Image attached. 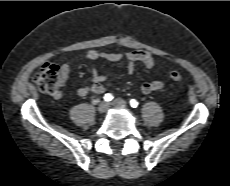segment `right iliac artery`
I'll return each instance as SVG.
<instances>
[{
  "mask_svg": "<svg viewBox=\"0 0 230 186\" xmlns=\"http://www.w3.org/2000/svg\"><path fill=\"white\" fill-rule=\"evenodd\" d=\"M112 99H113V95L112 94L107 93V94L104 95V100L106 102H110Z\"/></svg>",
  "mask_w": 230,
  "mask_h": 186,
  "instance_id": "82829eb1",
  "label": "right iliac artery"
}]
</instances>
